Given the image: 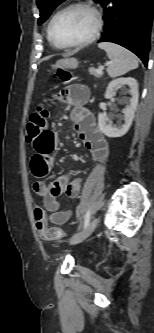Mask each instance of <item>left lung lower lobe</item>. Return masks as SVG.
I'll return each mask as SVG.
<instances>
[{"label":"left lung lower lobe","mask_w":154,"mask_h":333,"mask_svg":"<svg viewBox=\"0 0 154 333\" xmlns=\"http://www.w3.org/2000/svg\"><path fill=\"white\" fill-rule=\"evenodd\" d=\"M104 32L98 42H113L135 53L147 66L154 0H102Z\"/></svg>","instance_id":"obj_1"}]
</instances>
